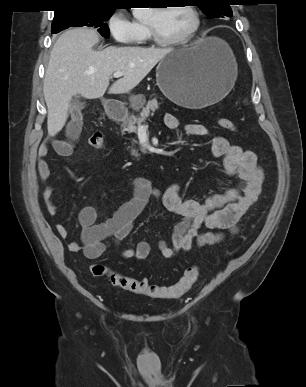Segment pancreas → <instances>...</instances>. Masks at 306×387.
I'll return each instance as SVG.
<instances>
[{
	"label": "pancreas",
	"mask_w": 306,
	"mask_h": 387,
	"mask_svg": "<svg viewBox=\"0 0 306 387\" xmlns=\"http://www.w3.org/2000/svg\"><path fill=\"white\" fill-rule=\"evenodd\" d=\"M146 103V99L144 95H134L131 97V106L134 110L140 111V114L138 116L131 115L127 116L123 120V127L126 131L129 133L137 132L138 127L145 122V120L150 116L153 115V113L159 108V104L157 102V99L154 98L152 100H149ZM131 155L132 156H138V150L132 148L131 149Z\"/></svg>",
	"instance_id": "obj_1"
}]
</instances>
